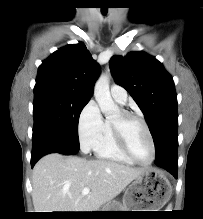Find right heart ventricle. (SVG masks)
I'll use <instances>...</instances> for the list:
<instances>
[{
	"label": "right heart ventricle",
	"mask_w": 203,
	"mask_h": 219,
	"mask_svg": "<svg viewBox=\"0 0 203 219\" xmlns=\"http://www.w3.org/2000/svg\"><path fill=\"white\" fill-rule=\"evenodd\" d=\"M93 150L99 159L128 165H132L134 163L120 149L112 127V120L110 119L104 121L101 134Z\"/></svg>",
	"instance_id": "obj_1"
}]
</instances>
